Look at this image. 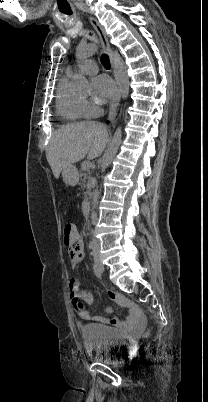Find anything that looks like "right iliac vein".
Masks as SVG:
<instances>
[{
  "instance_id": "obj_1",
  "label": "right iliac vein",
  "mask_w": 208,
  "mask_h": 402,
  "mask_svg": "<svg viewBox=\"0 0 208 402\" xmlns=\"http://www.w3.org/2000/svg\"><path fill=\"white\" fill-rule=\"evenodd\" d=\"M96 263L99 265V267H101V262L98 258L95 259Z\"/></svg>"
}]
</instances>
